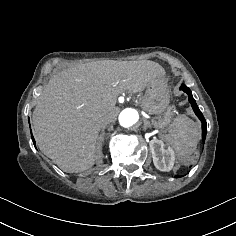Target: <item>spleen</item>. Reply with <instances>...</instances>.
<instances>
[{"label": "spleen", "instance_id": "1", "mask_svg": "<svg viewBox=\"0 0 236 236\" xmlns=\"http://www.w3.org/2000/svg\"><path fill=\"white\" fill-rule=\"evenodd\" d=\"M200 127L188 117H178L169 126L164 139L180 155H191L199 142Z\"/></svg>", "mask_w": 236, "mask_h": 236}]
</instances>
